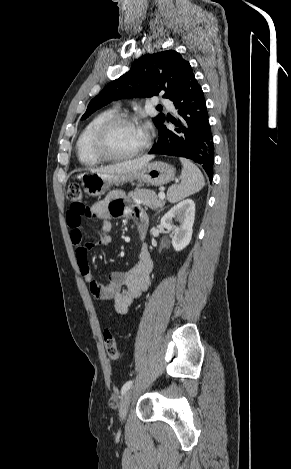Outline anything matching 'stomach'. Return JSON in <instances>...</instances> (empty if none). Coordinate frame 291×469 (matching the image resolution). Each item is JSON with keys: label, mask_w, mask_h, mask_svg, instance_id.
I'll list each match as a JSON object with an SVG mask.
<instances>
[{"label": "stomach", "mask_w": 291, "mask_h": 469, "mask_svg": "<svg viewBox=\"0 0 291 469\" xmlns=\"http://www.w3.org/2000/svg\"><path fill=\"white\" fill-rule=\"evenodd\" d=\"M175 169L172 165L155 161L146 164L141 169L128 173H95L82 174L81 182L85 192L93 197L101 196L114 184L137 180L152 186H162L173 180Z\"/></svg>", "instance_id": "0dacf381"}]
</instances>
